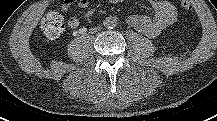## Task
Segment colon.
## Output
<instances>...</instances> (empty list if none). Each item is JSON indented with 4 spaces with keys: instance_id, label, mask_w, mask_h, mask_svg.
I'll use <instances>...</instances> for the list:
<instances>
[{
    "instance_id": "obj_1",
    "label": "colon",
    "mask_w": 217,
    "mask_h": 121,
    "mask_svg": "<svg viewBox=\"0 0 217 121\" xmlns=\"http://www.w3.org/2000/svg\"><path fill=\"white\" fill-rule=\"evenodd\" d=\"M183 7L189 6L188 0H180ZM42 29L46 35L55 38L62 35L65 31V24L63 16L56 11L48 13L42 21Z\"/></svg>"
}]
</instances>
